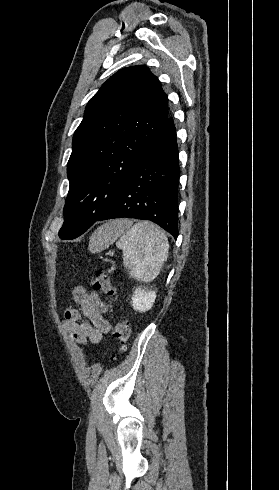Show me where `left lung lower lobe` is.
<instances>
[{
    "label": "left lung lower lobe",
    "instance_id": "1",
    "mask_svg": "<svg viewBox=\"0 0 279 490\" xmlns=\"http://www.w3.org/2000/svg\"><path fill=\"white\" fill-rule=\"evenodd\" d=\"M178 147L172 117L147 142L120 185L110 208L98 221L150 220L178 236Z\"/></svg>",
    "mask_w": 279,
    "mask_h": 490
}]
</instances>
